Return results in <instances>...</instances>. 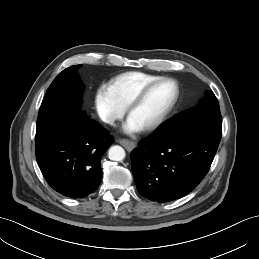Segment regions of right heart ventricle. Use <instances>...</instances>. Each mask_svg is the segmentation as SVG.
<instances>
[{"instance_id":"obj_1","label":"right heart ventricle","mask_w":259,"mask_h":259,"mask_svg":"<svg viewBox=\"0 0 259 259\" xmlns=\"http://www.w3.org/2000/svg\"><path fill=\"white\" fill-rule=\"evenodd\" d=\"M158 78H160L158 75L131 71L115 76L105 87L114 101L125 109L130 99L144 85Z\"/></svg>"}]
</instances>
